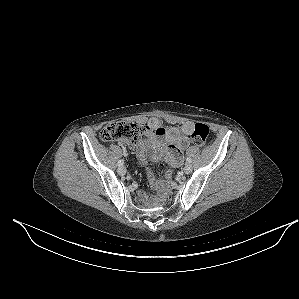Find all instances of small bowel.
Returning <instances> with one entry per match:
<instances>
[{
  "mask_svg": "<svg viewBox=\"0 0 299 299\" xmlns=\"http://www.w3.org/2000/svg\"><path fill=\"white\" fill-rule=\"evenodd\" d=\"M193 129L194 123L191 121L167 128L160 118H150L147 122L146 138L136 144L140 164L145 167L146 159L149 158L152 161L163 160L173 168L179 167L183 161V150L190 145ZM147 177L152 189L157 190L161 187V181L149 170Z\"/></svg>",
  "mask_w": 299,
  "mask_h": 299,
  "instance_id": "c3829d8e",
  "label": "small bowel"
}]
</instances>
